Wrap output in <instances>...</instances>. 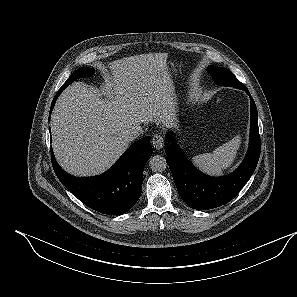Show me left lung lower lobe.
<instances>
[{"instance_id":"0a47b994","label":"left lung lower lobe","mask_w":297,"mask_h":297,"mask_svg":"<svg viewBox=\"0 0 297 297\" xmlns=\"http://www.w3.org/2000/svg\"><path fill=\"white\" fill-rule=\"evenodd\" d=\"M243 90L250 96V143L243 162L233 173L225 177H210L201 173L173 143L171 134L167 136L171 142L165 149L167 164L180 197L193 209H213L228 203L240 192L256 168L261 150L258 112L247 88Z\"/></svg>"}]
</instances>
